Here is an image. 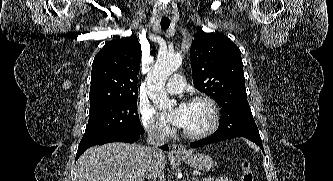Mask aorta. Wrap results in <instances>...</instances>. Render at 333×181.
I'll use <instances>...</instances> for the list:
<instances>
[{"mask_svg": "<svg viewBox=\"0 0 333 181\" xmlns=\"http://www.w3.org/2000/svg\"><path fill=\"white\" fill-rule=\"evenodd\" d=\"M182 63V56L174 54L158 59L147 76L148 96L160 109L166 110L176 104L167 95L164 86L169 76L174 73Z\"/></svg>", "mask_w": 333, "mask_h": 181, "instance_id": "aorta-1", "label": "aorta"}]
</instances>
